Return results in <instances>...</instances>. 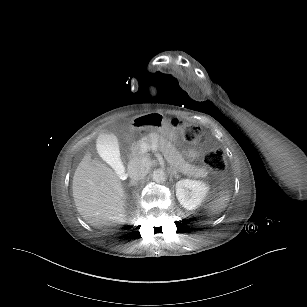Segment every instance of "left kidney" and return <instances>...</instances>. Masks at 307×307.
Here are the masks:
<instances>
[{
  "instance_id": "obj_1",
  "label": "left kidney",
  "mask_w": 307,
  "mask_h": 307,
  "mask_svg": "<svg viewBox=\"0 0 307 307\" xmlns=\"http://www.w3.org/2000/svg\"><path fill=\"white\" fill-rule=\"evenodd\" d=\"M175 189L179 203L187 210H195L205 200L210 187L200 180L182 179Z\"/></svg>"
}]
</instances>
